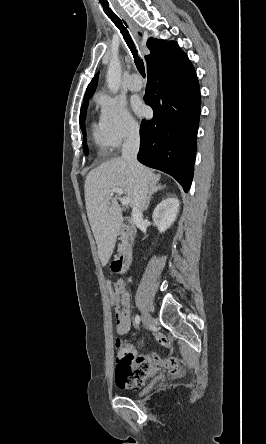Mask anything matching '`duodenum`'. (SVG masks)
<instances>
[{"mask_svg":"<svg viewBox=\"0 0 266 444\" xmlns=\"http://www.w3.org/2000/svg\"><path fill=\"white\" fill-rule=\"evenodd\" d=\"M122 223L126 225L125 237L123 239L120 251L115 258L114 265L118 272L127 273L132 264V242L134 240L135 231L128 221L123 220Z\"/></svg>","mask_w":266,"mask_h":444,"instance_id":"duodenum-1","label":"duodenum"}]
</instances>
